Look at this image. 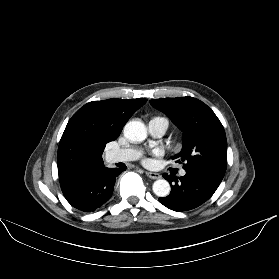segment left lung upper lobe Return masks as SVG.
Returning a JSON list of instances; mask_svg holds the SVG:
<instances>
[{
  "label": "left lung upper lobe",
  "mask_w": 279,
  "mask_h": 279,
  "mask_svg": "<svg viewBox=\"0 0 279 279\" xmlns=\"http://www.w3.org/2000/svg\"><path fill=\"white\" fill-rule=\"evenodd\" d=\"M183 132L182 150L173 157L183 169L202 172L221 182L227 167V140L215 113L192 97L150 100Z\"/></svg>",
  "instance_id": "left-lung-upper-lobe-1"
}]
</instances>
